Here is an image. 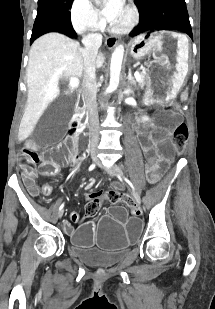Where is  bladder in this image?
<instances>
[{"label": "bladder", "mask_w": 215, "mask_h": 309, "mask_svg": "<svg viewBox=\"0 0 215 309\" xmlns=\"http://www.w3.org/2000/svg\"><path fill=\"white\" fill-rule=\"evenodd\" d=\"M77 257L86 265L93 267H110L121 262L126 252L121 251L117 253H103V252H77Z\"/></svg>", "instance_id": "1"}]
</instances>
